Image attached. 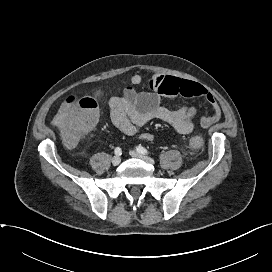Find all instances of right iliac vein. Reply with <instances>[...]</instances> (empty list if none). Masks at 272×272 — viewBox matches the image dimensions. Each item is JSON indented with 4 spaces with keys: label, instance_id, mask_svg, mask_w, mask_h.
<instances>
[{
    "label": "right iliac vein",
    "instance_id": "right-iliac-vein-1",
    "mask_svg": "<svg viewBox=\"0 0 272 272\" xmlns=\"http://www.w3.org/2000/svg\"><path fill=\"white\" fill-rule=\"evenodd\" d=\"M120 162H121V158H120L119 156H114V157L112 158V164H113L114 166L119 165Z\"/></svg>",
    "mask_w": 272,
    "mask_h": 272
}]
</instances>
